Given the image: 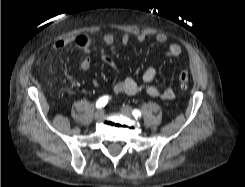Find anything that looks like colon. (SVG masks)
I'll return each instance as SVG.
<instances>
[{
  "mask_svg": "<svg viewBox=\"0 0 245 187\" xmlns=\"http://www.w3.org/2000/svg\"><path fill=\"white\" fill-rule=\"evenodd\" d=\"M189 76V71L185 68L179 72L178 81L182 89H185L187 87V84L189 82Z\"/></svg>",
  "mask_w": 245,
  "mask_h": 187,
  "instance_id": "colon-1",
  "label": "colon"
}]
</instances>
